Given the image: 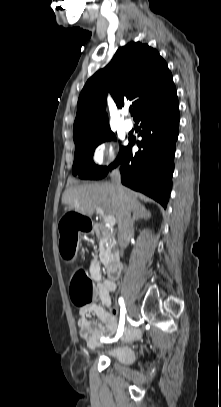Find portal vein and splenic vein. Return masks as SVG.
I'll list each match as a JSON object with an SVG mask.
<instances>
[{"label": "portal vein and splenic vein", "instance_id": "18ae733b", "mask_svg": "<svg viewBox=\"0 0 221 407\" xmlns=\"http://www.w3.org/2000/svg\"><path fill=\"white\" fill-rule=\"evenodd\" d=\"M96 212H97V214H99V215L103 218V221H104V223H105L107 226L112 227V226L115 225L116 219H115L114 216L106 215V214L104 213L103 209L100 208V207H98V208L96 209Z\"/></svg>", "mask_w": 221, "mask_h": 407}]
</instances>
